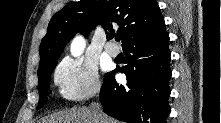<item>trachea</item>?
<instances>
[{
	"label": "trachea",
	"mask_w": 221,
	"mask_h": 123,
	"mask_svg": "<svg viewBox=\"0 0 221 123\" xmlns=\"http://www.w3.org/2000/svg\"><path fill=\"white\" fill-rule=\"evenodd\" d=\"M115 40H116V41H120V40H121V37H120V36H119V37H116Z\"/></svg>",
	"instance_id": "trachea-1"
}]
</instances>
